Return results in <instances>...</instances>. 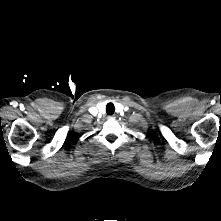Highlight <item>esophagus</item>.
<instances>
[{"label":"esophagus","mask_w":221,"mask_h":221,"mask_svg":"<svg viewBox=\"0 0 221 221\" xmlns=\"http://www.w3.org/2000/svg\"><path fill=\"white\" fill-rule=\"evenodd\" d=\"M109 120H114L115 119V116L114 115H110L107 117Z\"/></svg>","instance_id":"esophagus-1"}]
</instances>
